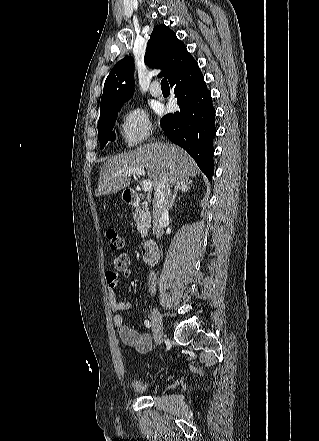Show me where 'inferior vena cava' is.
Wrapping results in <instances>:
<instances>
[{
	"mask_svg": "<svg viewBox=\"0 0 319 441\" xmlns=\"http://www.w3.org/2000/svg\"><path fill=\"white\" fill-rule=\"evenodd\" d=\"M170 199H171L170 185L166 186L165 191L159 189L155 193V200L153 203L152 214H153V234L157 237L162 236L164 225L168 221V209H169ZM148 281H149V287L151 293H155L156 276L154 272H150Z\"/></svg>",
	"mask_w": 319,
	"mask_h": 441,
	"instance_id": "1",
	"label": "inferior vena cava"
}]
</instances>
